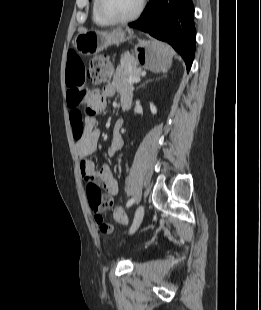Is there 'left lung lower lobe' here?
Masks as SVG:
<instances>
[{
    "instance_id": "left-lung-lower-lobe-1",
    "label": "left lung lower lobe",
    "mask_w": 261,
    "mask_h": 310,
    "mask_svg": "<svg viewBox=\"0 0 261 310\" xmlns=\"http://www.w3.org/2000/svg\"><path fill=\"white\" fill-rule=\"evenodd\" d=\"M193 16L192 0H150L140 19L129 26L169 43L182 56L189 71L195 52Z\"/></svg>"
}]
</instances>
